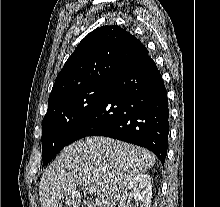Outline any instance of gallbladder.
I'll return each instance as SVG.
<instances>
[{"mask_svg":"<svg viewBox=\"0 0 220 207\" xmlns=\"http://www.w3.org/2000/svg\"><path fill=\"white\" fill-rule=\"evenodd\" d=\"M86 205L89 206V207H92V202L91 201H86Z\"/></svg>","mask_w":220,"mask_h":207,"instance_id":"gallbladder-1","label":"gallbladder"}]
</instances>
